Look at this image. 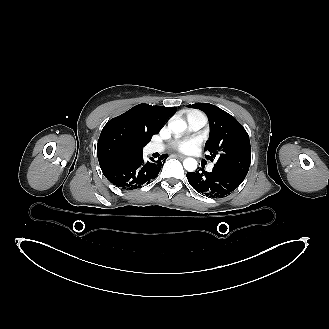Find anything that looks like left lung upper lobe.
<instances>
[{
  "instance_id": "1",
  "label": "left lung upper lobe",
  "mask_w": 329,
  "mask_h": 329,
  "mask_svg": "<svg viewBox=\"0 0 329 329\" xmlns=\"http://www.w3.org/2000/svg\"><path fill=\"white\" fill-rule=\"evenodd\" d=\"M189 108L205 112L210 123L209 139L205 150L207 157L217 159L215 167L228 170L245 178L251 158V147L248 133L230 114L209 103L188 105Z\"/></svg>"
}]
</instances>
